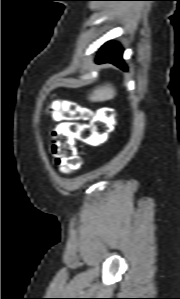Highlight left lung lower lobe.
<instances>
[{
  "label": "left lung lower lobe",
  "instance_id": "obj_1",
  "mask_svg": "<svg viewBox=\"0 0 180 299\" xmlns=\"http://www.w3.org/2000/svg\"><path fill=\"white\" fill-rule=\"evenodd\" d=\"M123 49L116 42H107L102 46L97 57V63H112L123 70H127L122 59Z\"/></svg>",
  "mask_w": 180,
  "mask_h": 299
}]
</instances>
